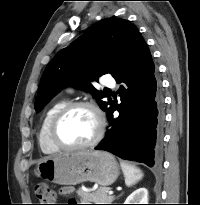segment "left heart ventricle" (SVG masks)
Masks as SVG:
<instances>
[{
    "instance_id": "obj_1",
    "label": "left heart ventricle",
    "mask_w": 200,
    "mask_h": 205,
    "mask_svg": "<svg viewBox=\"0 0 200 205\" xmlns=\"http://www.w3.org/2000/svg\"><path fill=\"white\" fill-rule=\"evenodd\" d=\"M97 123L93 113L85 108L69 112L58 126V139L66 145H79L90 141L96 134Z\"/></svg>"
}]
</instances>
